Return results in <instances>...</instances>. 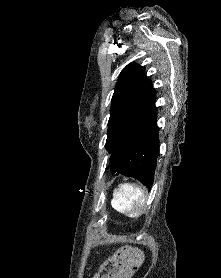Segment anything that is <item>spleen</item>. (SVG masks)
Here are the masks:
<instances>
[{
	"instance_id": "obj_1",
	"label": "spleen",
	"mask_w": 221,
	"mask_h": 278,
	"mask_svg": "<svg viewBox=\"0 0 221 278\" xmlns=\"http://www.w3.org/2000/svg\"><path fill=\"white\" fill-rule=\"evenodd\" d=\"M144 202L143 191L136 185L125 183L120 184L114 192L111 204L120 213L138 216L139 212L134 209V205L138 203L140 207L144 205Z\"/></svg>"
}]
</instances>
